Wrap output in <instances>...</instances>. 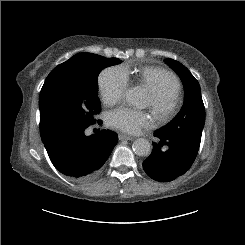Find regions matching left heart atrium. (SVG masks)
Wrapping results in <instances>:
<instances>
[{
    "instance_id": "left-heart-atrium-1",
    "label": "left heart atrium",
    "mask_w": 245,
    "mask_h": 245,
    "mask_svg": "<svg viewBox=\"0 0 245 245\" xmlns=\"http://www.w3.org/2000/svg\"><path fill=\"white\" fill-rule=\"evenodd\" d=\"M107 124L113 129L128 134H138L142 129L150 128L152 120L146 112L120 107L108 114Z\"/></svg>"
}]
</instances>
